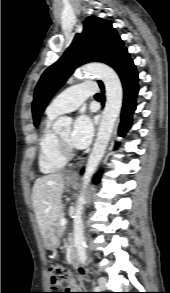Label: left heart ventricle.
<instances>
[{"instance_id":"left-heart-ventricle-1","label":"left heart ventricle","mask_w":170,"mask_h":293,"mask_svg":"<svg viewBox=\"0 0 170 293\" xmlns=\"http://www.w3.org/2000/svg\"><path fill=\"white\" fill-rule=\"evenodd\" d=\"M58 135L63 141H65L66 143H69V137H70L69 129L59 132Z\"/></svg>"}]
</instances>
